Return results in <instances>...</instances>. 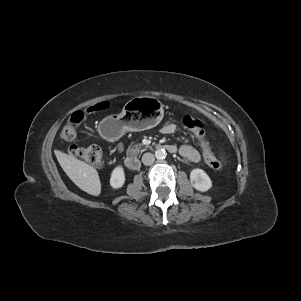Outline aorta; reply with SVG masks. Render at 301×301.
<instances>
[{"label":"aorta","mask_w":301,"mask_h":301,"mask_svg":"<svg viewBox=\"0 0 301 301\" xmlns=\"http://www.w3.org/2000/svg\"><path fill=\"white\" fill-rule=\"evenodd\" d=\"M166 155H167V153H166L165 149H158V150H156V152H155V157H156L158 160H163V159H165V158H166Z\"/></svg>","instance_id":"762f6f07"}]
</instances>
